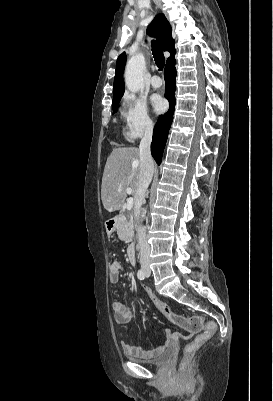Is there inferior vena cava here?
Wrapping results in <instances>:
<instances>
[{
  "instance_id": "inferior-vena-cava-1",
  "label": "inferior vena cava",
  "mask_w": 273,
  "mask_h": 401,
  "mask_svg": "<svg viewBox=\"0 0 273 401\" xmlns=\"http://www.w3.org/2000/svg\"><path fill=\"white\" fill-rule=\"evenodd\" d=\"M152 128H146L145 134L140 142L139 152H140V174L139 182L136 190V201L139 203L138 211L136 213L137 219L140 217V207L144 201L145 192L152 180L153 176V158L151 156V142H152ZM138 245L140 249V259H149L150 257V247L147 243L145 227L138 225L137 229Z\"/></svg>"
}]
</instances>
